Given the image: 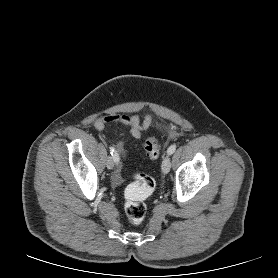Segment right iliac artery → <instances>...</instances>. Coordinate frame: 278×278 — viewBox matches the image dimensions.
<instances>
[{"mask_svg":"<svg viewBox=\"0 0 278 278\" xmlns=\"http://www.w3.org/2000/svg\"><path fill=\"white\" fill-rule=\"evenodd\" d=\"M110 153L113 157L114 162L118 163L119 162V156H118L117 151L113 147H110Z\"/></svg>","mask_w":278,"mask_h":278,"instance_id":"1","label":"right iliac artery"}]
</instances>
